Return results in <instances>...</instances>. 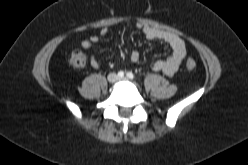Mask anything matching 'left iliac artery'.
<instances>
[{"mask_svg": "<svg viewBox=\"0 0 248 165\" xmlns=\"http://www.w3.org/2000/svg\"><path fill=\"white\" fill-rule=\"evenodd\" d=\"M127 77H128L129 79H133V78H134V74H133L132 72H128V73H127Z\"/></svg>", "mask_w": 248, "mask_h": 165, "instance_id": "obj_1", "label": "left iliac artery"}]
</instances>
